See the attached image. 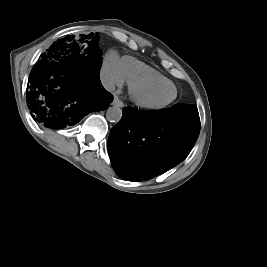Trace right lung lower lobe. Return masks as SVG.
<instances>
[{"mask_svg":"<svg viewBox=\"0 0 267 267\" xmlns=\"http://www.w3.org/2000/svg\"><path fill=\"white\" fill-rule=\"evenodd\" d=\"M100 67L98 57L66 44L42 54L27 86L32 118L46 128L63 129L91 112L106 109L113 96L99 80Z\"/></svg>","mask_w":267,"mask_h":267,"instance_id":"right-lung-lower-lobe-1","label":"right lung lower lobe"}]
</instances>
